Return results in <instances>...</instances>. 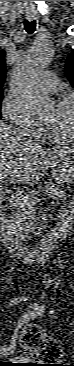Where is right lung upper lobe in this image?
<instances>
[{
    "label": "right lung upper lobe",
    "mask_w": 74,
    "mask_h": 366,
    "mask_svg": "<svg viewBox=\"0 0 74 366\" xmlns=\"http://www.w3.org/2000/svg\"><path fill=\"white\" fill-rule=\"evenodd\" d=\"M5 51L0 50V94H3L2 87L6 78Z\"/></svg>",
    "instance_id": "1"
}]
</instances>
